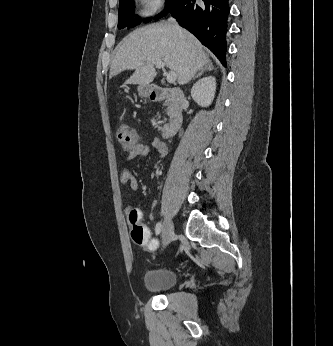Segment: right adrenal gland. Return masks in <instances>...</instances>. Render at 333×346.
I'll return each mask as SVG.
<instances>
[{"mask_svg": "<svg viewBox=\"0 0 333 346\" xmlns=\"http://www.w3.org/2000/svg\"><path fill=\"white\" fill-rule=\"evenodd\" d=\"M212 70H214L212 63H208L196 75L192 77V80H194L197 77H200L205 71H212Z\"/></svg>", "mask_w": 333, "mask_h": 346, "instance_id": "obj_1", "label": "right adrenal gland"}]
</instances>
